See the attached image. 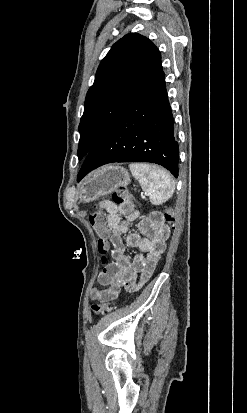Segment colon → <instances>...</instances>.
<instances>
[{"instance_id":"obj_1","label":"colon","mask_w":247,"mask_h":413,"mask_svg":"<svg viewBox=\"0 0 247 413\" xmlns=\"http://www.w3.org/2000/svg\"><path fill=\"white\" fill-rule=\"evenodd\" d=\"M112 199L115 203L121 204L125 207H130L132 204L138 205L139 201L135 195H130L125 189L118 187L112 194ZM162 215L165 217V222L168 226H173L175 221V210L173 205L166 206L162 210ZM89 221L91 222V227L93 228L94 234H97L99 253L103 254V259H105V254L109 252V235H108V225L106 223V217L103 211L95 208L92 214L89 216ZM113 304L110 301L104 303H96L91 305V312L94 316H100L111 309Z\"/></svg>"}]
</instances>
